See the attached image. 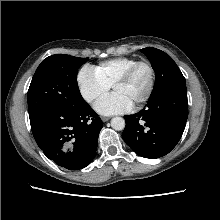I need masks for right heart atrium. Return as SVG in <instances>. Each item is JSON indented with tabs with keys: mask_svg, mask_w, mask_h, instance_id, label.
Instances as JSON below:
<instances>
[{
	"mask_svg": "<svg viewBox=\"0 0 220 220\" xmlns=\"http://www.w3.org/2000/svg\"><path fill=\"white\" fill-rule=\"evenodd\" d=\"M77 84L81 97L89 104H93L106 95L110 89L89 66H85L79 71Z\"/></svg>",
	"mask_w": 220,
	"mask_h": 220,
	"instance_id": "1",
	"label": "right heart atrium"
}]
</instances>
